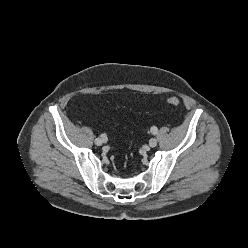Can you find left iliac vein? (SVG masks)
Listing matches in <instances>:
<instances>
[{"mask_svg": "<svg viewBox=\"0 0 248 248\" xmlns=\"http://www.w3.org/2000/svg\"><path fill=\"white\" fill-rule=\"evenodd\" d=\"M158 144V140L156 138H151L149 140L150 147H155Z\"/></svg>", "mask_w": 248, "mask_h": 248, "instance_id": "4c4485c4", "label": "left iliac vein"}]
</instances>
